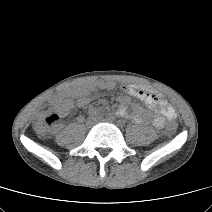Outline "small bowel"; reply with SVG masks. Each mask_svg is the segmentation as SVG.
<instances>
[{
	"label": "small bowel",
	"mask_w": 212,
	"mask_h": 212,
	"mask_svg": "<svg viewBox=\"0 0 212 212\" xmlns=\"http://www.w3.org/2000/svg\"><path fill=\"white\" fill-rule=\"evenodd\" d=\"M115 83L110 80H98L78 84L54 99L53 105L61 116H67L75 105L84 107L91 103L98 90L112 91ZM122 95L118 97L119 107L116 114L121 117L128 115L131 97L141 100L149 108H159V115L151 117L141 107H135L132 119L136 123L144 124L149 121L157 128H162L166 121L176 118L175 109L165 100L162 94L152 88L135 84L121 86ZM80 119V118H79Z\"/></svg>",
	"instance_id": "c3829d8e"
}]
</instances>
